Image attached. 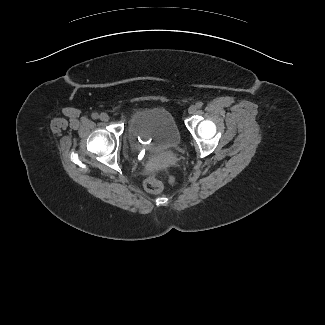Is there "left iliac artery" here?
<instances>
[{
	"mask_svg": "<svg viewBox=\"0 0 325 325\" xmlns=\"http://www.w3.org/2000/svg\"><path fill=\"white\" fill-rule=\"evenodd\" d=\"M202 106H203V103L201 102V101H198L197 103H196V107L197 108H202Z\"/></svg>",
	"mask_w": 325,
	"mask_h": 325,
	"instance_id": "44dca946",
	"label": "left iliac artery"
}]
</instances>
